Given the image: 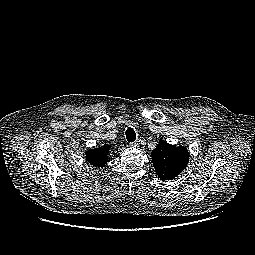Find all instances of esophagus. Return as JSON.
<instances>
[{"instance_id":"obj_1","label":"esophagus","mask_w":255,"mask_h":255,"mask_svg":"<svg viewBox=\"0 0 255 255\" xmlns=\"http://www.w3.org/2000/svg\"><path fill=\"white\" fill-rule=\"evenodd\" d=\"M130 146L139 147V141L137 140L135 142L130 143Z\"/></svg>"}]
</instances>
